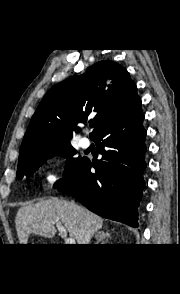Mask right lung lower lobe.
<instances>
[{
  "label": "right lung lower lobe",
  "instance_id": "1",
  "mask_svg": "<svg viewBox=\"0 0 180 294\" xmlns=\"http://www.w3.org/2000/svg\"><path fill=\"white\" fill-rule=\"evenodd\" d=\"M141 99L104 125L93 138L102 159H86L78 172L59 187L94 213L132 227L145 186L146 151ZM95 168L96 173H91Z\"/></svg>",
  "mask_w": 180,
  "mask_h": 294
}]
</instances>
